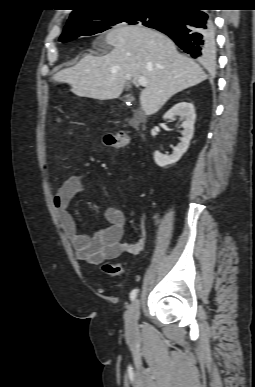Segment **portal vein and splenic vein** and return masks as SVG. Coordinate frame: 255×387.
I'll list each match as a JSON object with an SVG mask.
<instances>
[{
	"instance_id": "obj_1",
	"label": "portal vein and splenic vein",
	"mask_w": 255,
	"mask_h": 387,
	"mask_svg": "<svg viewBox=\"0 0 255 387\" xmlns=\"http://www.w3.org/2000/svg\"><path fill=\"white\" fill-rule=\"evenodd\" d=\"M128 79H130V77H128ZM137 83L141 86H146L147 82H146V79L144 77H138L137 78Z\"/></svg>"
}]
</instances>
